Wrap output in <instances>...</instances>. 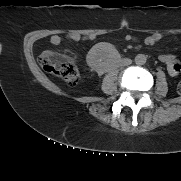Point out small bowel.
<instances>
[{
	"label": "small bowel",
	"mask_w": 181,
	"mask_h": 181,
	"mask_svg": "<svg viewBox=\"0 0 181 181\" xmlns=\"http://www.w3.org/2000/svg\"><path fill=\"white\" fill-rule=\"evenodd\" d=\"M72 40L78 41L81 39V36L78 34H72L69 36ZM92 36H85L84 39H92ZM163 38V35L161 33H154L152 35L147 36L144 39V43L148 46H152L159 42ZM127 41H135V38L128 35L126 36ZM62 42V36L60 35H53L50 38V43L52 45H59ZM160 61L163 62L168 70V73L175 77L178 76L181 73V62H179L174 55H161Z\"/></svg>",
	"instance_id": "1"
}]
</instances>
